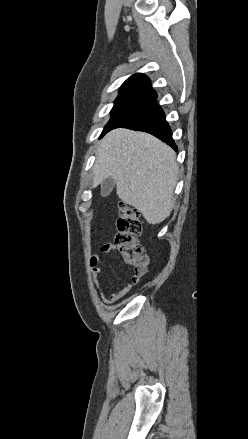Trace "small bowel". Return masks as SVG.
Returning a JSON list of instances; mask_svg holds the SVG:
<instances>
[{"instance_id": "small-bowel-1", "label": "small bowel", "mask_w": 248, "mask_h": 439, "mask_svg": "<svg viewBox=\"0 0 248 439\" xmlns=\"http://www.w3.org/2000/svg\"><path fill=\"white\" fill-rule=\"evenodd\" d=\"M112 251H114V245L105 244L101 247V253L92 254L90 257V260H89V264L91 267V276H92L93 286H94L95 290L97 291L99 298L105 304H113V303L119 301L120 299H122L124 296H126L130 292L133 285H135L139 282V279L132 276L131 281L128 284L120 287L119 289H117L113 292H110L107 296L104 295V293L101 291L100 283L98 280V276L102 272V268L99 264H100V260H101L102 255L110 253Z\"/></svg>"}]
</instances>
